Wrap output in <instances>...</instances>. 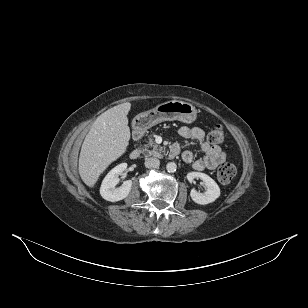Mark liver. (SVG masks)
Masks as SVG:
<instances>
[{"label": "liver", "mask_w": 308, "mask_h": 308, "mask_svg": "<svg viewBox=\"0 0 308 308\" xmlns=\"http://www.w3.org/2000/svg\"><path fill=\"white\" fill-rule=\"evenodd\" d=\"M130 108L129 102L114 106L92 124L78 162L80 177L87 186L93 187L101 173L126 151L130 140L127 118Z\"/></svg>", "instance_id": "1"}]
</instances>
